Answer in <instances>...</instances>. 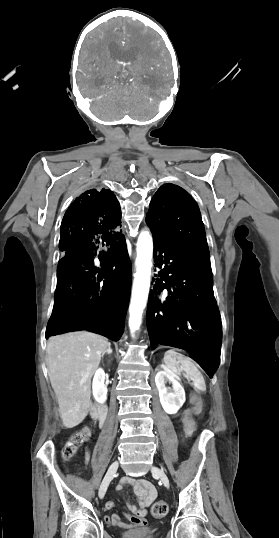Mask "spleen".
<instances>
[{
	"mask_svg": "<svg viewBox=\"0 0 279 538\" xmlns=\"http://www.w3.org/2000/svg\"><path fill=\"white\" fill-rule=\"evenodd\" d=\"M179 350H168V352H165L164 354V362L166 368L168 370H172V372H177L178 366H183L184 372H186L187 376L194 381L193 386L196 388L195 392L197 394H204L206 392L204 380L200 376V372L197 370L196 366L192 364L191 358H186V356H182V354H178Z\"/></svg>",
	"mask_w": 279,
	"mask_h": 538,
	"instance_id": "3e777b00",
	"label": "spleen"
}]
</instances>
